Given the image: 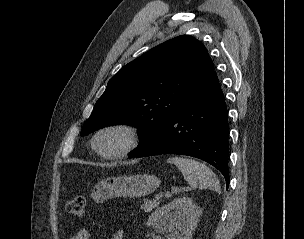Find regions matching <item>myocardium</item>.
Masks as SVG:
<instances>
[{
  "label": "myocardium",
  "instance_id": "f54148a6",
  "mask_svg": "<svg viewBox=\"0 0 304 239\" xmlns=\"http://www.w3.org/2000/svg\"><path fill=\"white\" fill-rule=\"evenodd\" d=\"M110 132L120 133L123 136L124 143L121 147H119L114 151L105 152L99 147L98 142L101 136ZM139 143H140V133L138 128L130 123H125V122H116V123L107 124L99 128L95 132L92 138L93 149L98 155L106 159L123 158L128 154H130L132 151H134L138 147Z\"/></svg>",
  "mask_w": 304,
  "mask_h": 239
}]
</instances>
